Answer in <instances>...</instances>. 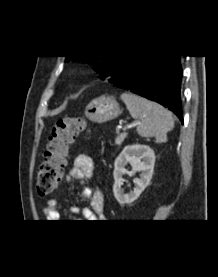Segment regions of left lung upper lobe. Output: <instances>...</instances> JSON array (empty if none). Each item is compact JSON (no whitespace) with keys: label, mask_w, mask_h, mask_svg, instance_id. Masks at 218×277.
<instances>
[{"label":"left lung upper lobe","mask_w":218,"mask_h":277,"mask_svg":"<svg viewBox=\"0 0 218 277\" xmlns=\"http://www.w3.org/2000/svg\"><path fill=\"white\" fill-rule=\"evenodd\" d=\"M133 55L121 56H67L66 61L75 60L82 63H89L93 65L97 72L103 78H110L116 72L122 70L124 66L133 59Z\"/></svg>","instance_id":"obj_1"}]
</instances>
